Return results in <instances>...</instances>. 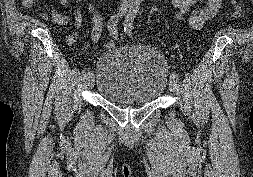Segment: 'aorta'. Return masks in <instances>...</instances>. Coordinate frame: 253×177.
<instances>
[{
  "mask_svg": "<svg viewBox=\"0 0 253 177\" xmlns=\"http://www.w3.org/2000/svg\"><path fill=\"white\" fill-rule=\"evenodd\" d=\"M132 1H134V3H136V4H139V3H141L143 0H132Z\"/></svg>",
  "mask_w": 253,
  "mask_h": 177,
  "instance_id": "obj_1",
  "label": "aorta"
}]
</instances>
